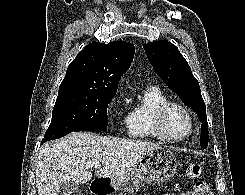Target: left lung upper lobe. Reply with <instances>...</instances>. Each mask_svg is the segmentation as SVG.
<instances>
[{"mask_svg": "<svg viewBox=\"0 0 245 195\" xmlns=\"http://www.w3.org/2000/svg\"><path fill=\"white\" fill-rule=\"evenodd\" d=\"M143 48L157 75L175 92L183 103L197 112L202 123L200 146L208 145L206 107L200 86L178 48L168 41L144 43Z\"/></svg>", "mask_w": 245, "mask_h": 195, "instance_id": "5c2ea615", "label": "left lung upper lobe"}]
</instances>
